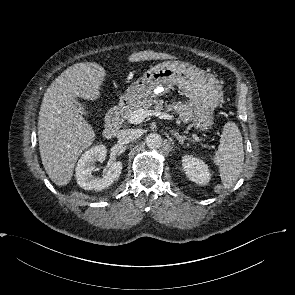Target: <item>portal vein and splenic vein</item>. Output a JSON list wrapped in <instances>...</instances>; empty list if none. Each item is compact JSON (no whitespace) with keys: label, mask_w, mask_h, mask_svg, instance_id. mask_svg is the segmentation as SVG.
I'll return each mask as SVG.
<instances>
[{"label":"portal vein and splenic vein","mask_w":295,"mask_h":295,"mask_svg":"<svg viewBox=\"0 0 295 295\" xmlns=\"http://www.w3.org/2000/svg\"><path fill=\"white\" fill-rule=\"evenodd\" d=\"M152 115L158 116L159 118H162V119H168V120L173 118L172 115H169L166 113L152 111V110L137 109L130 115L129 122L133 124H140L141 122L144 121L146 117L152 116Z\"/></svg>","instance_id":"portal-vein-and-splenic-vein-1"}]
</instances>
